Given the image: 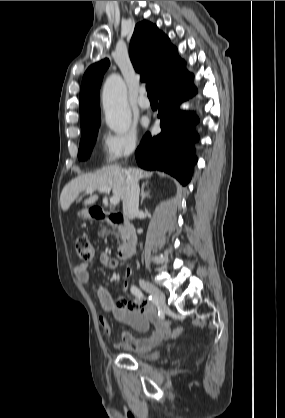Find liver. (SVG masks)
<instances>
[{
  "label": "liver",
  "mask_w": 285,
  "mask_h": 418,
  "mask_svg": "<svg viewBox=\"0 0 285 418\" xmlns=\"http://www.w3.org/2000/svg\"><path fill=\"white\" fill-rule=\"evenodd\" d=\"M127 175L137 182L140 179L151 177V173L144 172L139 168L122 169L116 165L106 166L94 173L84 174L70 181L61 192V209L67 211L75 200H79V195L90 188L99 191L100 188L110 187L113 196L123 200L127 190ZM98 198V195H91L83 204L85 206L93 205Z\"/></svg>",
  "instance_id": "1"
}]
</instances>
